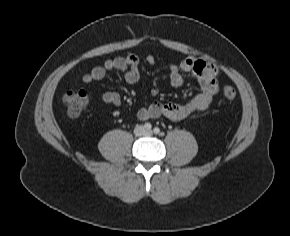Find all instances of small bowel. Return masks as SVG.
I'll use <instances>...</instances> for the list:
<instances>
[{
    "mask_svg": "<svg viewBox=\"0 0 290 236\" xmlns=\"http://www.w3.org/2000/svg\"><path fill=\"white\" fill-rule=\"evenodd\" d=\"M148 65L155 63L153 56L146 58ZM139 58L135 54H128L125 57H115L106 60L102 65L94 67L82 78L84 84L91 85L105 77L109 71H120L123 73L126 82L134 84L139 81ZM182 72L191 73L198 81L201 91L190 101L183 104L154 102L147 107L137 111L140 120L164 117L171 121H183L189 119L199 112L210 107L215 94L218 92L217 75L218 68L191 57L184 58L180 64L172 63L169 66V81L172 86L179 87L184 83ZM102 101L114 106L122 102L121 96L116 92H106L102 95Z\"/></svg>",
    "mask_w": 290,
    "mask_h": 236,
    "instance_id": "1",
    "label": "small bowel"
}]
</instances>
